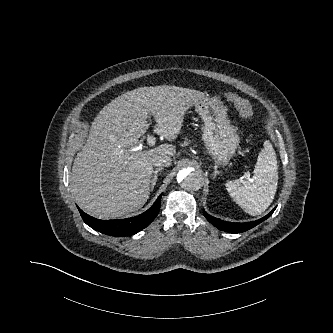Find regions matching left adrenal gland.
<instances>
[{
    "instance_id": "left-adrenal-gland-1",
    "label": "left adrenal gland",
    "mask_w": 333,
    "mask_h": 333,
    "mask_svg": "<svg viewBox=\"0 0 333 333\" xmlns=\"http://www.w3.org/2000/svg\"><path fill=\"white\" fill-rule=\"evenodd\" d=\"M221 172L218 171L217 166L214 167V174H213V179L216 178L217 175H219Z\"/></svg>"
}]
</instances>
